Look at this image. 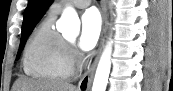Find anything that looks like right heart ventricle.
Returning <instances> with one entry per match:
<instances>
[{"label": "right heart ventricle", "instance_id": "1", "mask_svg": "<svg viewBox=\"0 0 173 91\" xmlns=\"http://www.w3.org/2000/svg\"><path fill=\"white\" fill-rule=\"evenodd\" d=\"M54 17L55 14L50 13L35 29L23 57L28 76L51 82L67 80L74 71L69 46L53 28Z\"/></svg>", "mask_w": 173, "mask_h": 91}]
</instances>
